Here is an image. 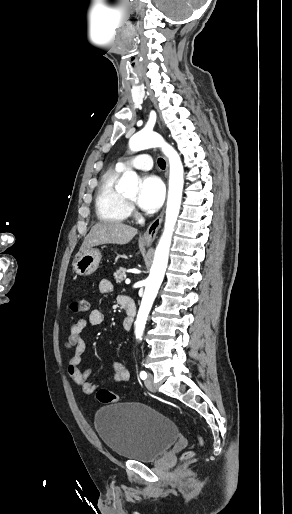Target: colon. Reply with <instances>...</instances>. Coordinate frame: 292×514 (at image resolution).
I'll use <instances>...</instances> for the list:
<instances>
[{
	"label": "colon",
	"mask_w": 292,
	"mask_h": 514,
	"mask_svg": "<svg viewBox=\"0 0 292 514\" xmlns=\"http://www.w3.org/2000/svg\"><path fill=\"white\" fill-rule=\"evenodd\" d=\"M90 309V303L87 299L75 300L71 303V310L75 313H88ZM96 398L101 403H117L119 397L116 393L109 389L103 388L96 392ZM196 443L200 446L203 443V438L200 435H196ZM196 455L194 450H189L184 453L185 459H192Z\"/></svg>",
	"instance_id": "obj_1"
}]
</instances>
